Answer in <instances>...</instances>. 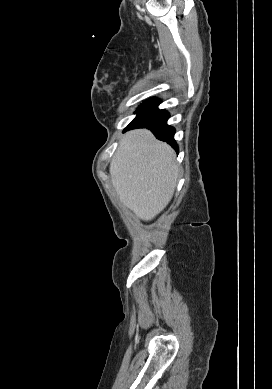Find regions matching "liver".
<instances>
[{"mask_svg": "<svg viewBox=\"0 0 272 389\" xmlns=\"http://www.w3.org/2000/svg\"><path fill=\"white\" fill-rule=\"evenodd\" d=\"M174 150L146 129L127 132L110 163L111 183L124 206L144 221L170 202L179 168Z\"/></svg>", "mask_w": 272, "mask_h": 389, "instance_id": "6515ba94", "label": "liver"}]
</instances>
